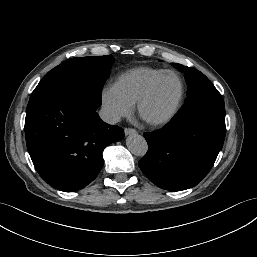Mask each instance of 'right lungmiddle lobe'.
Wrapping results in <instances>:
<instances>
[{
    "instance_id": "1",
    "label": "right lung middle lobe",
    "mask_w": 257,
    "mask_h": 257,
    "mask_svg": "<svg viewBox=\"0 0 257 257\" xmlns=\"http://www.w3.org/2000/svg\"><path fill=\"white\" fill-rule=\"evenodd\" d=\"M113 56H89L66 60L49 71L31 96L63 88H82L96 100H101L105 81L113 64Z\"/></svg>"
}]
</instances>
